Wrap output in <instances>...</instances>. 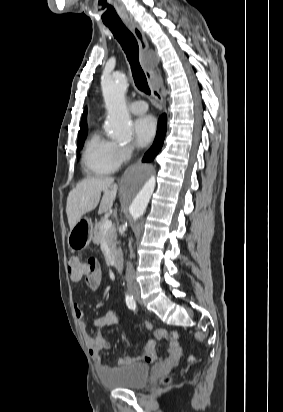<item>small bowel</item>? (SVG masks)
I'll list each match as a JSON object with an SVG mask.
<instances>
[{"mask_svg":"<svg viewBox=\"0 0 283 412\" xmlns=\"http://www.w3.org/2000/svg\"><path fill=\"white\" fill-rule=\"evenodd\" d=\"M85 283L90 290H97L101 286L102 271L98 263L94 272H89L85 275ZM74 311L77 319L81 323V329L83 331L85 341L89 347L90 354L98 366L100 374H103L110 368V366L103 360L101 352L109 349L110 345L108 341L98 332V330L115 325L119 319V311L117 309H113L95 318L92 323V327L96 330L94 334L91 333L90 325L86 322V314L78 303L74 305ZM144 325L147 330L152 331L153 326L150 322L146 321ZM153 334L156 338H162L166 333L163 330H155L153 331ZM180 354V345L177 342H170L168 346L167 360H177ZM155 358L156 353L154 343L153 341H148L141 354L133 357L118 358L117 363L120 366H125L135 362H152Z\"/></svg>","mask_w":283,"mask_h":412,"instance_id":"small-bowel-1","label":"small bowel"}]
</instances>
